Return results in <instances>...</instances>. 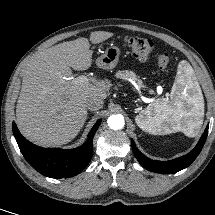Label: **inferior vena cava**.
<instances>
[{
  "instance_id": "inferior-vena-cava-1",
  "label": "inferior vena cava",
  "mask_w": 215,
  "mask_h": 215,
  "mask_svg": "<svg viewBox=\"0 0 215 215\" xmlns=\"http://www.w3.org/2000/svg\"><path fill=\"white\" fill-rule=\"evenodd\" d=\"M85 105L88 110H98L103 107V100L98 97H91L86 100Z\"/></svg>"
}]
</instances>
